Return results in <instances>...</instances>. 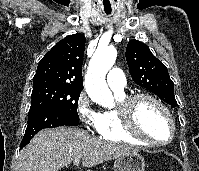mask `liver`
I'll use <instances>...</instances> for the list:
<instances>
[{
  "label": "liver",
  "mask_w": 199,
  "mask_h": 171,
  "mask_svg": "<svg viewBox=\"0 0 199 171\" xmlns=\"http://www.w3.org/2000/svg\"><path fill=\"white\" fill-rule=\"evenodd\" d=\"M138 151L97 138L82 129L62 126L38 132L24 147L16 171H58L75 159L82 158L84 167Z\"/></svg>",
  "instance_id": "1"
}]
</instances>
